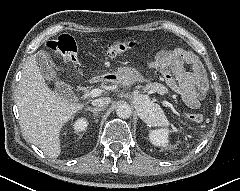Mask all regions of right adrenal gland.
<instances>
[{
	"mask_svg": "<svg viewBox=\"0 0 240 191\" xmlns=\"http://www.w3.org/2000/svg\"><path fill=\"white\" fill-rule=\"evenodd\" d=\"M102 110H104V109H96V108H90V107H88V108L85 109V111H91V112L93 113L94 118H96L97 115H98V112H99V111H102ZM97 121H98V120H96V122H97Z\"/></svg>",
	"mask_w": 240,
	"mask_h": 191,
	"instance_id": "2a0ac1e0",
	"label": "right adrenal gland"
}]
</instances>
